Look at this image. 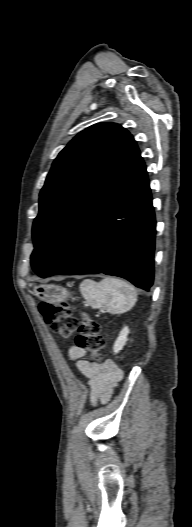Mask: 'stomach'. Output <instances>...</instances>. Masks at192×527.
Segmentation results:
<instances>
[{
	"mask_svg": "<svg viewBox=\"0 0 192 527\" xmlns=\"http://www.w3.org/2000/svg\"><path fill=\"white\" fill-rule=\"evenodd\" d=\"M34 293L38 298L51 303H57L70 297V293L66 289L56 285L34 286Z\"/></svg>",
	"mask_w": 192,
	"mask_h": 527,
	"instance_id": "1",
	"label": "stomach"
}]
</instances>
